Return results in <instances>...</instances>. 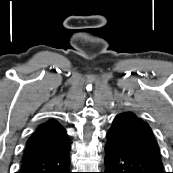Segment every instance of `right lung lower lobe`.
I'll return each mask as SVG.
<instances>
[{"instance_id":"98d812e1","label":"right lung lower lobe","mask_w":173,"mask_h":173,"mask_svg":"<svg viewBox=\"0 0 173 173\" xmlns=\"http://www.w3.org/2000/svg\"><path fill=\"white\" fill-rule=\"evenodd\" d=\"M70 145L23 156L18 173H71Z\"/></svg>"}]
</instances>
